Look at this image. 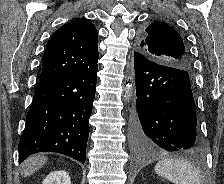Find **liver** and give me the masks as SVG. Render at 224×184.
I'll use <instances>...</instances> for the list:
<instances>
[{
    "label": "liver",
    "mask_w": 224,
    "mask_h": 184,
    "mask_svg": "<svg viewBox=\"0 0 224 184\" xmlns=\"http://www.w3.org/2000/svg\"><path fill=\"white\" fill-rule=\"evenodd\" d=\"M46 162H47V157L41 156V155L32 156L28 158L21 165L22 177H27L32 175L35 171L42 168Z\"/></svg>",
    "instance_id": "1"
}]
</instances>
